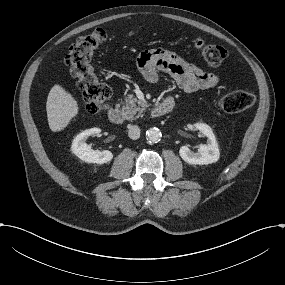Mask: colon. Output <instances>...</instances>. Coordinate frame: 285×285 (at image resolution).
I'll list each match as a JSON object with an SVG mask.
<instances>
[{
    "mask_svg": "<svg viewBox=\"0 0 285 285\" xmlns=\"http://www.w3.org/2000/svg\"><path fill=\"white\" fill-rule=\"evenodd\" d=\"M106 38L107 33L101 28H97L87 35L80 36L70 47L65 58V63L82 92L87 112L91 116L104 111L111 97V89L98 79L92 65L95 51ZM195 47L211 66H219L227 56V51L224 47L206 43L201 39L195 41ZM255 102L256 96L249 90L228 92L222 95L218 101L221 109L228 113L242 112L251 108Z\"/></svg>",
    "mask_w": 285,
    "mask_h": 285,
    "instance_id": "1",
    "label": "colon"
}]
</instances>
